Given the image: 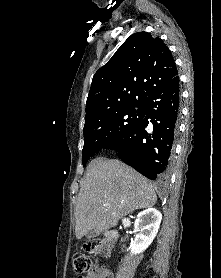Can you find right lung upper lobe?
<instances>
[{
  "label": "right lung upper lobe",
  "instance_id": "right-lung-upper-lobe-1",
  "mask_svg": "<svg viewBox=\"0 0 221 278\" xmlns=\"http://www.w3.org/2000/svg\"><path fill=\"white\" fill-rule=\"evenodd\" d=\"M178 74L169 48L147 32L132 34L94 75L85 122L119 108L144 102L156 88Z\"/></svg>",
  "mask_w": 221,
  "mask_h": 278
}]
</instances>
